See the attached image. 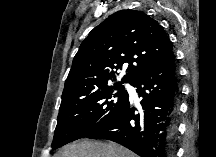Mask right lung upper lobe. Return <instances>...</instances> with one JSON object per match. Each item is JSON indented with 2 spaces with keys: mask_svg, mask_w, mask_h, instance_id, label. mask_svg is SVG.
I'll return each mask as SVG.
<instances>
[{
  "mask_svg": "<svg viewBox=\"0 0 216 157\" xmlns=\"http://www.w3.org/2000/svg\"><path fill=\"white\" fill-rule=\"evenodd\" d=\"M173 45L162 26L137 10H120L95 27L82 42L65 81L62 102L83 92L109 87L128 64L121 82L132 83L163 60ZM113 85V86H114Z\"/></svg>",
  "mask_w": 216,
  "mask_h": 157,
  "instance_id": "cb5924a9",
  "label": "right lung upper lobe"
}]
</instances>
